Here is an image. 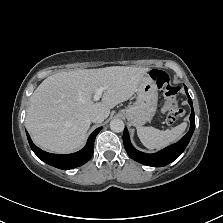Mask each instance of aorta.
<instances>
[{
    "instance_id": "obj_1",
    "label": "aorta",
    "mask_w": 223,
    "mask_h": 223,
    "mask_svg": "<svg viewBox=\"0 0 223 223\" xmlns=\"http://www.w3.org/2000/svg\"><path fill=\"white\" fill-rule=\"evenodd\" d=\"M124 122L121 119H113L110 122V129L113 132H122L124 130Z\"/></svg>"
}]
</instances>
